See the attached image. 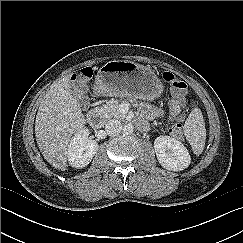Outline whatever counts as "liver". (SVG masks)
Segmentation results:
<instances>
[{
  "label": "liver",
  "mask_w": 243,
  "mask_h": 243,
  "mask_svg": "<svg viewBox=\"0 0 243 243\" xmlns=\"http://www.w3.org/2000/svg\"><path fill=\"white\" fill-rule=\"evenodd\" d=\"M70 76L50 86L35 120V136L42 155L62 171L68 166L67 152L72 135L84 128L86 122L80 104L70 90Z\"/></svg>",
  "instance_id": "liver-1"
}]
</instances>
